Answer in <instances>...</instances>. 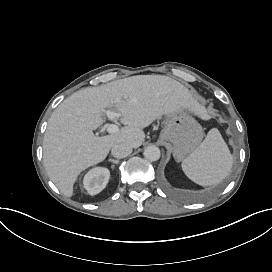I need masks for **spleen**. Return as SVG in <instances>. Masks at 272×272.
<instances>
[{
    "label": "spleen",
    "mask_w": 272,
    "mask_h": 272,
    "mask_svg": "<svg viewBox=\"0 0 272 272\" xmlns=\"http://www.w3.org/2000/svg\"><path fill=\"white\" fill-rule=\"evenodd\" d=\"M232 156L217 129L208 131L202 143L181 163L186 176L199 185L218 184L230 173Z\"/></svg>",
    "instance_id": "1"
}]
</instances>
